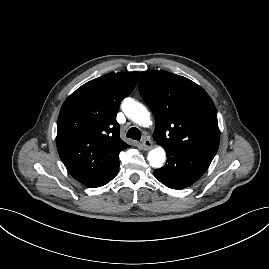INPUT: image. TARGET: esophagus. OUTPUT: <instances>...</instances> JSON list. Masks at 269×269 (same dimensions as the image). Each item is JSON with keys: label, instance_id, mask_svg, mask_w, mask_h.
Returning a JSON list of instances; mask_svg holds the SVG:
<instances>
[{"label": "esophagus", "instance_id": "obj_1", "mask_svg": "<svg viewBox=\"0 0 269 269\" xmlns=\"http://www.w3.org/2000/svg\"><path fill=\"white\" fill-rule=\"evenodd\" d=\"M142 145L146 150L151 149L152 148V141L149 139V137H144L142 139Z\"/></svg>", "mask_w": 269, "mask_h": 269}]
</instances>
